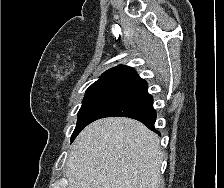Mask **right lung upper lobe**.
<instances>
[{
	"mask_svg": "<svg viewBox=\"0 0 224 188\" xmlns=\"http://www.w3.org/2000/svg\"><path fill=\"white\" fill-rule=\"evenodd\" d=\"M137 77L138 75L133 68L129 66H117L104 72L97 81L113 79L132 81Z\"/></svg>",
	"mask_w": 224,
	"mask_h": 188,
	"instance_id": "1",
	"label": "right lung upper lobe"
}]
</instances>
